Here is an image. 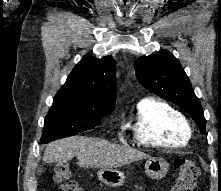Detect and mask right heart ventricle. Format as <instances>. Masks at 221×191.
<instances>
[{
	"instance_id": "e07e8e85",
	"label": "right heart ventricle",
	"mask_w": 221,
	"mask_h": 191,
	"mask_svg": "<svg viewBox=\"0 0 221 191\" xmlns=\"http://www.w3.org/2000/svg\"><path fill=\"white\" fill-rule=\"evenodd\" d=\"M132 130L135 140L149 147H184L190 140L184 115L169 102L156 98L138 102Z\"/></svg>"
}]
</instances>
